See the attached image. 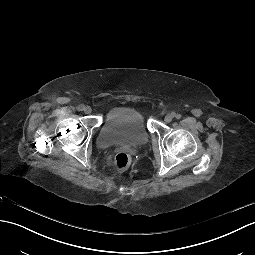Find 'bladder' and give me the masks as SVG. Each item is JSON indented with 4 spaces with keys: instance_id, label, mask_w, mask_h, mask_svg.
Returning <instances> with one entry per match:
<instances>
[{
    "instance_id": "bladder-1",
    "label": "bladder",
    "mask_w": 255,
    "mask_h": 255,
    "mask_svg": "<svg viewBox=\"0 0 255 255\" xmlns=\"http://www.w3.org/2000/svg\"><path fill=\"white\" fill-rule=\"evenodd\" d=\"M148 138L145 119L134 107H122L113 111L98 134L97 143L139 145Z\"/></svg>"
}]
</instances>
